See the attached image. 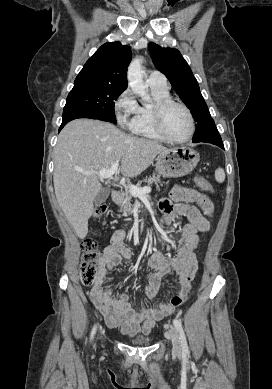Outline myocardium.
I'll list each match as a JSON object with an SVG mask.
<instances>
[{
    "label": "myocardium",
    "instance_id": "f54148a6",
    "mask_svg": "<svg viewBox=\"0 0 272 389\" xmlns=\"http://www.w3.org/2000/svg\"><path fill=\"white\" fill-rule=\"evenodd\" d=\"M172 105H176L181 107L187 114L188 119H189V124H190V129L188 134L183 137V138H173L169 136L166 131L164 130L163 127V114L165 110ZM152 121H153V126L157 134L165 141L171 142V143H185L189 141L194 133H195V120L193 117V114L189 107L184 104L183 102L174 100L172 98H166L159 100L155 102L152 106Z\"/></svg>",
    "mask_w": 272,
    "mask_h": 389
}]
</instances>
